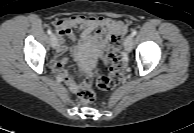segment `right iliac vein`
Returning a JSON list of instances; mask_svg holds the SVG:
<instances>
[{
    "label": "right iliac vein",
    "mask_w": 194,
    "mask_h": 133,
    "mask_svg": "<svg viewBox=\"0 0 194 133\" xmlns=\"http://www.w3.org/2000/svg\"><path fill=\"white\" fill-rule=\"evenodd\" d=\"M50 42H51L52 48L55 49L57 47L58 41H57V37L54 34L51 35Z\"/></svg>",
    "instance_id": "1"
}]
</instances>
